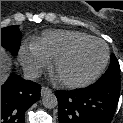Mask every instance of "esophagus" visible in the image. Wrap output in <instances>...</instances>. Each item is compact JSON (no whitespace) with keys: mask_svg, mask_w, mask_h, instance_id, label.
<instances>
[{"mask_svg":"<svg viewBox=\"0 0 123 123\" xmlns=\"http://www.w3.org/2000/svg\"><path fill=\"white\" fill-rule=\"evenodd\" d=\"M51 92H52V90L49 87H46V86H43L42 89H41V95L42 96H44L46 94H49Z\"/></svg>","mask_w":123,"mask_h":123,"instance_id":"1","label":"esophagus"}]
</instances>
